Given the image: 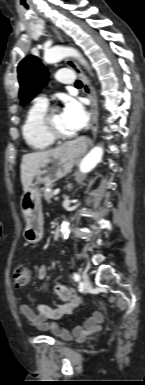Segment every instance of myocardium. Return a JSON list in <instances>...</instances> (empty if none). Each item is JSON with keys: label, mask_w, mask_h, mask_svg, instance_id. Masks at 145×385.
Returning a JSON list of instances; mask_svg holds the SVG:
<instances>
[{"label": "myocardium", "mask_w": 145, "mask_h": 385, "mask_svg": "<svg viewBox=\"0 0 145 385\" xmlns=\"http://www.w3.org/2000/svg\"><path fill=\"white\" fill-rule=\"evenodd\" d=\"M57 111H59L57 107H52L46 111V113L44 114L41 120V127L43 132L53 141L67 140L72 138L74 134L65 135V134H60L54 130L52 125V117Z\"/></svg>", "instance_id": "obj_1"}]
</instances>
